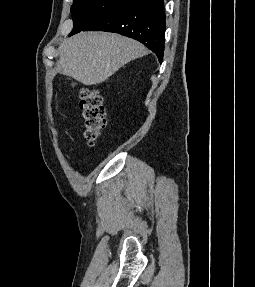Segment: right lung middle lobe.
Returning a JSON list of instances; mask_svg holds the SVG:
<instances>
[{
    "mask_svg": "<svg viewBox=\"0 0 255 287\" xmlns=\"http://www.w3.org/2000/svg\"><path fill=\"white\" fill-rule=\"evenodd\" d=\"M131 0H74L71 13L74 27L69 36L85 30L91 24Z\"/></svg>",
    "mask_w": 255,
    "mask_h": 287,
    "instance_id": "dd1d6c3e",
    "label": "right lung middle lobe"
}]
</instances>
